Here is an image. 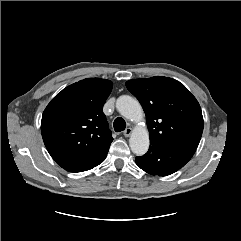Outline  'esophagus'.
Listing matches in <instances>:
<instances>
[{
	"instance_id": "obj_1",
	"label": "esophagus",
	"mask_w": 241,
	"mask_h": 241,
	"mask_svg": "<svg viewBox=\"0 0 241 241\" xmlns=\"http://www.w3.org/2000/svg\"><path fill=\"white\" fill-rule=\"evenodd\" d=\"M132 134V129L130 127L126 128L123 132L125 137H129Z\"/></svg>"
}]
</instances>
